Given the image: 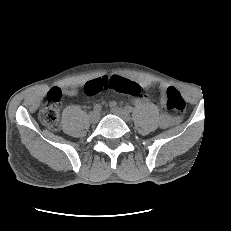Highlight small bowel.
<instances>
[{
	"mask_svg": "<svg viewBox=\"0 0 231 231\" xmlns=\"http://www.w3.org/2000/svg\"><path fill=\"white\" fill-rule=\"evenodd\" d=\"M138 85L141 87L142 91L138 95L134 96V101L136 103H139L142 101L150 100V95L148 93L144 92V90H143V87L149 85V83L144 82L142 85H140V84H138ZM63 94L66 97H75V96H77L78 91L74 88H70V89L64 90ZM174 122H175V120L173 118L168 117V118H165L164 120H162V126L168 127V126L172 125Z\"/></svg>",
	"mask_w": 231,
	"mask_h": 231,
	"instance_id": "small-bowel-1",
	"label": "small bowel"
}]
</instances>
